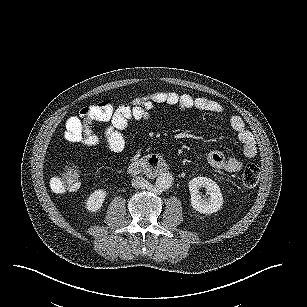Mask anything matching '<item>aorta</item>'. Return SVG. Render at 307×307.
<instances>
[{
    "mask_svg": "<svg viewBox=\"0 0 307 307\" xmlns=\"http://www.w3.org/2000/svg\"><path fill=\"white\" fill-rule=\"evenodd\" d=\"M174 177L170 172H161L156 178V185L162 190H168L172 187Z\"/></svg>",
    "mask_w": 307,
    "mask_h": 307,
    "instance_id": "1",
    "label": "aorta"
}]
</instances>
